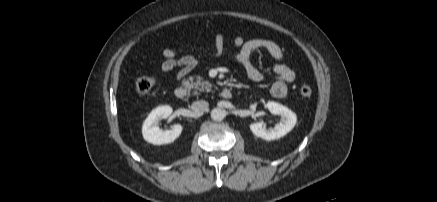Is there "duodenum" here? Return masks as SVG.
<instances>
[{"label": "duodenum", "instance_id": "obj_1", "mask_svg": "<svg viewBox=\"0 0 437 202\" xmlns=\"http://www.w3.org/2000/svg\"><path fill=\"white\" fill-rule=\"evenodd\" d=\"M187 89L184 86H178L174 90V95L178 99H184L187 97ZM233 96V93L230 89L225 88L221 91V97L224 99H231Z\"/></svg>", "mask_w": 437, "mask_h": 202}]
</instances>
